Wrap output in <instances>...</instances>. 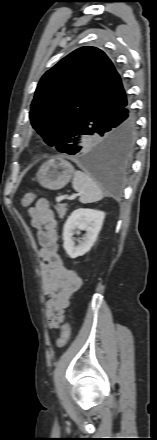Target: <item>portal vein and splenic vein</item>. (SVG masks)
<instances>
[{"label": "portal vein and splenic vein", "mask_w": 157, "mask_h": 440, "mask_svg": "<svg viewBox=\"0 0 157 440\" xmlns=\"http://www.w3.org/2000/svg\"><path fill=\"white\" fill-rule=\"evenodd\" d=\"M78 195L79 194H74L71 197H68L67 195H62V196L58 197L57 201H61V200H64V199H73V198H75Z\"/></svg>", "instance_id": "obj_1"}]
</instances>
